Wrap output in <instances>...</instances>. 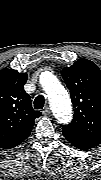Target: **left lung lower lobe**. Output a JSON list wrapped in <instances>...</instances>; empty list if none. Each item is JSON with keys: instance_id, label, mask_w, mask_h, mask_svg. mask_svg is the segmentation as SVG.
Masks as SVG:
<instances>
[{"instance_id": "left-lung-lower-lobe-1", "label": "left lung lower lobe", "mask_w": 101, "mask_h": 180, "mask_svg": "<svg viewBox=\"0 0 101 180\" xmlns=\"http://www.w3.org/2000/svg\"><path fill=\"white\" fill-rule=\"evenodd\" d=\"M64 137L69 141V143H71L73 146H75L78 149L88 150V149H91V148L96 146V145H93L91 143H87V142H84V141H81V140L66 137L65 135H64Z\"/></svg>"}]
</instances>
